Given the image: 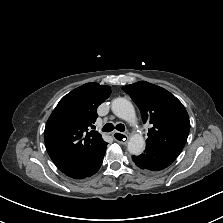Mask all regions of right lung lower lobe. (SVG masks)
Listing matches in <instances>:
<instances>
[{"mask_svg":"<svg viewBox=\"0 0 223 223\" xmlns=\"http://www.w3.org/2000/svg\"><path fill=\"white\" fill-rule=\"evenodd\" d=\"M107 143L97 151L90 159L83 162L80 165L72 167L63 173L67 176L74 178V179H83L85 177H90L95 174L102 164L104 154L106 152Z\"/></svg>","mask_w":223,"mask_h":223,"instance_id":"obj_1","label":"right lung lower lobe"}]
</instances>
